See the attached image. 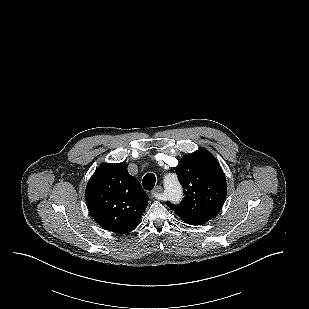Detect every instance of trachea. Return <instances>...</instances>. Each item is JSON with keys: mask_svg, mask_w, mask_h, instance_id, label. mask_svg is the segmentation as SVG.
<instances>
[{"mask_svg": "<svg viewBox=\"0 0 309 309\" xmlns=\"http://www.w3.org/2000/svg\"><path fill=\"white\" fill-rule=\"evenodd\" d=\"M156 177L153 173H148L144 176L142 184L146 190H152L155 186Z\"/></svg>", "mask_w": 309, "mask_h": 309, "instance_id": "trachea-1", "label": "trachea"}]
</instances>
